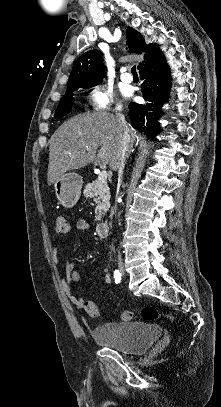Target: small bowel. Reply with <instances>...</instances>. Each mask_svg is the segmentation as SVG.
Returning <instances> with one entry per match:
<instances>
[{"label":"small bowel","instance_id":"1","mask_svg":"<svg viewBox=\"0 0 221 407\" xmlns=\"http://www.w3.org/2000/svg\"><path fill=\"white\" fill-rule=\"evenodd\" d=\"M74 227L78 231H86L89 229V224L82 218L75 221ZM60 245H55L52 250V258L58 262L59 261ZM65 276L60 280V287L62 291L66 294L69 301L76 307H84V299L76 294L72 293L71 286L73 283H78L81 279V274L78 270L74 268L73 262L68 259L65 263ZM105 283H111V277L108 269H105Z\"/></svg>","mask_w":221,"mask_h":407}]
</instances>
